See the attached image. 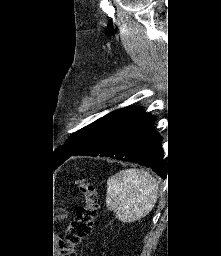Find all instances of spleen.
<instances>
[{
	"mask_svg": "<svg viewBox=\"0 0 221 256\" xmlns=\"http://www.w3.org/2000/svg\"><path fill=\"white\" fill-rule=\"evenodd\" d=\"M158 196V184L148 172L125 169L107 181L106 205L122 222H133L147 215Z\"/></svg>",
	"mask_w": 221,
	"mask_h": 256,
	"instance_id": "1",
	"label": "spleen"
}]
</instances>
